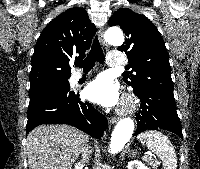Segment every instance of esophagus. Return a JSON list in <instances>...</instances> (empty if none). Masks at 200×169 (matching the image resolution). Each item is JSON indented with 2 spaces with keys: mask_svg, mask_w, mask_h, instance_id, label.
<instances>
[{
  "mask_svg": "<svg viewBox=\"0 0 200 169\" xmlns=\"http://www.w3.org/2000/svg\"><path fill=\"white\" fill-rule=\"evenodd\" d=\"M98 37H99V40H100L101 44L103 45V47L107 50L108 49V45L104 40V28L103 27H101L99 29V31H98ZM117 121H118V118H116V117L109 118L110 124H114Z\"/></svg>",
  "mask_w": 200,
  "mask_h": 169,
  "instance_id": "obj_1",
  "label": "esophagus"
}]
</instances>
